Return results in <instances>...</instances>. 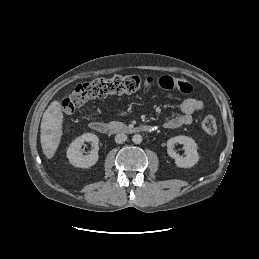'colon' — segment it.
Segmentation results:
<instances>
[{
    "instance_id": "5ec220e1",
    "label": "colon",
    "mask_w": 259,
    "mask_h": 259,
    "mask_svg": "<svg viewBox=\"0 0 259 259\" xmlns=\"http://www.w3.org/2000/svg\"><path fill=\"white\" fill-rule=\"evenodd\" d=\"M154 84L151 76L139 77L136 75L115 76L109 79L98 78L78 85L75 90L63 100L64 113L71 114L87 102L104 98L112 94H131L146 89ZM158 85L170 92L189 94L192 85L185 79L174 76H163L158 80ZM202 129L209 135L217 132L215 117L209 113L202 121Z\"/></svg>"
}]
</instances>
